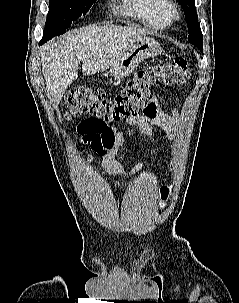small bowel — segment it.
I'll return each instance as SVG.
<instances>
[{"label": "small bowel", "mask_w": 239, "mask_h": 303, "mask_svg": "<svg viewBox=\"0 0 239 303\" xmlns=\"http://www.w3.org/2000/svg\"><path fill=\"white\" fill-rule=\"evenodd\" d=\"M96 121L95 118H88L82 121L78 127V144L91 145L96 151L97 156L89 155V162L99 161L102 172L105 176L119 178L125 175L116 156L124 145V135L114 126H109L100 132H94L91 125ZM131 127L139 129L141 134L149 139L155 137V127H165L170 121L164 116L160 109V99L154 95L146 104L142 114L127 120ZM161 156L159 155L158 159ZM142 167H138L140 170Z\"/></svg>", "instance_id": "obj_1"}]
</instances>
